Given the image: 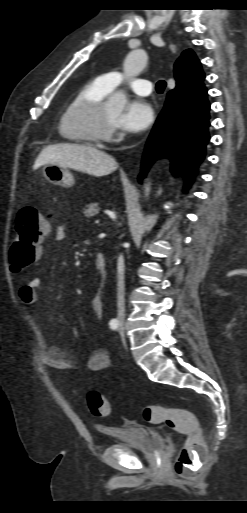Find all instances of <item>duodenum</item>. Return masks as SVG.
<instances>
[{
    "label": "duodenum",
    "instance_id": "1",
    "mask_svg": "<svg viewBox=\"0 0 247 513\" xmlns=\"http://www.w3.org/2000/svg\"><path fill=\"white\" fill-rule=\"evenodd\" d=\"M94 264H95L96 269L98 270V274H99L100 279L103 281V279L107 275V272H106V256H105V254L102 253V252L97 253L96 256H95Z\"/></svg>",
    "mask_w": 247,
    "mask_h": 513
}]
</instances>
